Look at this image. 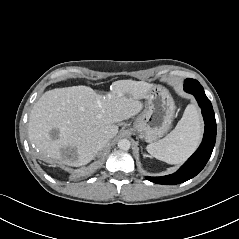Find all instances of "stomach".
Listing matches in <instances>:
<instances>
[{
    "instance_id": "0dacf381",
    "label": "stomach",
    "mask_w": 239,
    "mask_h": 239,
    "mask_svg": "<svg viewBox=\"0 0 239 239\" xmlns=\"http://www.w3.org/2000/svg\"><path fill=\"white\" fill-rule=\"evenodd\" d=\"M174 112L175 104L169 91L160 85L153 86L146 96L145 109L133 128L140 139L154 142L168 132Z\"/></svg>"
}]
</instances>
